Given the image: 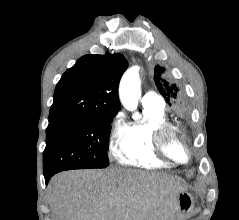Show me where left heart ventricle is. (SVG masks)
Listing matches in <instances>:
<instances>
[{"mask_svg": "<svg viewBox=\"0 0 239 220\" xmlns=\"http://www.w3.org/2000/svg\"><path fill=\"white\" fill-rule=\"evenodd\" d=\"M167 148H168L169 153L173 157H175L177 159H184L185 152H184L183 146L178 137L171 136L167 142Z\"/></svg>", "mask_w": 239, "mask_h": 220, "instance_id": "1", "label": "left heart ventricle"}]
</instances>
